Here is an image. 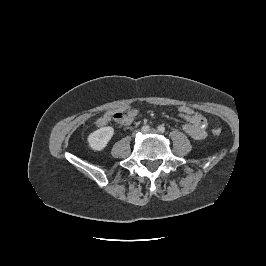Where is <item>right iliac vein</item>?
Segmentation results:
<instances>
[{"label": "right iliac vein", "instance_id": "right-iliac-vein-1", "mask_svg": "<svg viewBox=\"0 0 266 266\" xmlns=\"http://www.w3.org/2000/svg\"><path fill=\"white\" fill-rule=\"evenodd\" d=\"M135 135H136V132L133 133V136H135Z\"/></svg>", "mask_w": 266, "mask_h": 266}]
</instances>
